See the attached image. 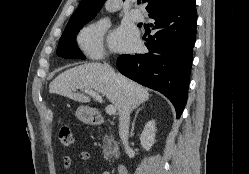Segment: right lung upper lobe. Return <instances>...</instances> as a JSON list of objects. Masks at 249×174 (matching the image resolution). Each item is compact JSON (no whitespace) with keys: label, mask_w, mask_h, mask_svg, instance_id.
I'll return each mask as SVG.
<instances>
[{"label":"right lung upper lobe","mask_w":249,"mask_h":174,"mask_svg":"<svg viewBox=\"0 0 249 174\" xmlns=\"http://www.w3.org/2000/svg\"><path fill=\"white\" fill-rule=\"evenodd\" d=\"M106 0H81L78 9L73 13L68 23L91 20L100 10ZM148 2L146 10L150 13L153 11L168 7L186 0H142Z\"/></svg>","instance_id":"cb5924a9"}]
</instances>
